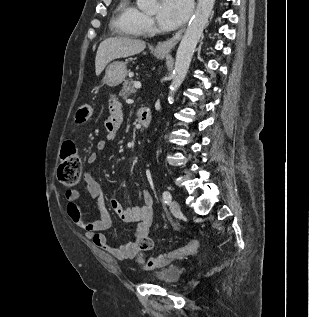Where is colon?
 I'll list each match as a JSON object with an SVG mask.
<instances>
[{
    "label": "colon",
    "instance_id": "colon-1",
    "mask_svg": "<svg viewBox=\"0 0 309 317\" xmlns=\"http://www.w3.org/2000/svg\"><path fill=\"white\" fill-rule=\"evenodd\" d=\"M92 108L89 105L82 106L77 112V121L84 123L91 116ZM82 172V163L79 155L77 154L75 144L71 140L63 143L61 149V161L57 170L58 180L66 187H74L78 184ZM152 240L148 236H144L137 241L138 249L146 251L152 248ZM199 247L197 239L192 240L184 249L179 251L191 252ZM164 256L165 260L161 261L160 257ZM167 255L161 254L155 258L144 260L143 263L146 267H156L163 264L167 260Z\"/></svg>",
    "mask_w": 309,
    "mask_h": 317
}]
</instances>
